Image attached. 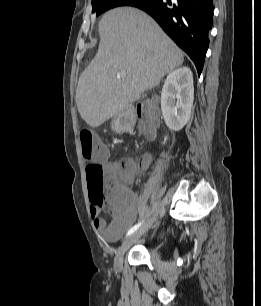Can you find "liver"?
<instances>
[{
	"label": "liver",
	"instance_id": "liver-1",
	"mask_svg": "<svg viewBox=\"0 0 261 306\" xmlns=\"http://www.w3.org/2000/svg\"><path fill=\"white\" fill-rule=\"evenodd\" d=\"M95 58L81 74L76 104L83 120L98 127L181 66L183 52L149 15L118 7L99 22ZM125 73L120 78L118 74Z\"/></svg>",
	"mask_w": 261,
	"mask_h": 306
}]
</instances>
